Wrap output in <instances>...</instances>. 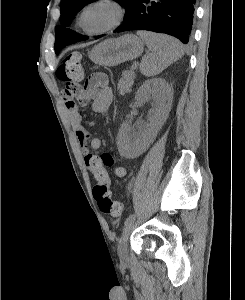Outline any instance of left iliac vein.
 <instances>
[{
	"label": "left iliac vein",
	"instance_id": "1",
	"mask_svg": "<svg viewBox=\"0 0 245 300\" xmlns=\"http://www.w3.org/2000/svg\"><path fill=\"white\" fill-rule=\"evenodd\" d=\"M134 225H135L134 220H132L128 224H126V226L122 232L121 238L119 239L118 256H119L120 260L123 262L128 260L127 242H128L130 233L134 229Z\"/></svg>",
	"mask_w": 245,
	"mask_h": 300
}]
</instances>
